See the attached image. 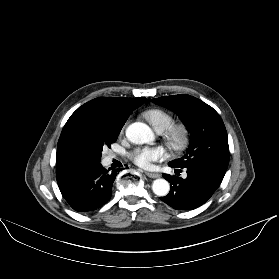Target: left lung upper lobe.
Returning a JSON list of instances; mask_svg holds the SVG:
<instances>
[{"label": "left lung upper lobe", "mask_w": 279, "mask_h": 279, "mask_svg": "<svg viewBox=\"0 0 279 279\" xmlns=\"http://www.w3.org/2000/svg\"><path fill=\"white\" fill-rule=\"evenodd\" d=\"M152 102L176 112L191 131L186 154L169 164L176 168L204 166L224 177L229 146L220 115L200 99L186 94L155 98Z\"/></svg>", "instance_id": "5c2ea615"}]
</instances>
